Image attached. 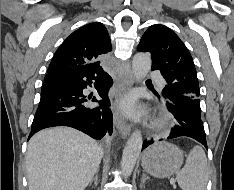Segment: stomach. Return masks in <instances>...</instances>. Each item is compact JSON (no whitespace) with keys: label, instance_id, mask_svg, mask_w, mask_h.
<instances>
[{"label":"stomach","instance_id":"stomach-1","mask_svg":"<svg viewBox=\"0 0 234 190\" xmlns=\"http://www.w3.org/2000/svg\"><path fill=\"white\" fill-rule=\"evenodd\" d=\"M183 163V152L169 142H157L147 148L141 159L144 171L158 178H168Z\"/></svg>","mask_w":234,"mask_h":190}]
</instances>
